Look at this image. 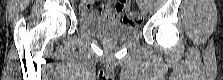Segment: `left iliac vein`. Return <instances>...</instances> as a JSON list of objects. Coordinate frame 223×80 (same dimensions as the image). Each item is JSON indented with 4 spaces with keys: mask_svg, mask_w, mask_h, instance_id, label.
Instances as JSON below:
<instances>
[{
    "mask_svg": "<svg viewBox=\"0 0 223 80\" xmlns=\"http://www.w3.org/2000/svg\"><path fill=\"white\" fill-rule=\"evenodd\" d=\"M140 10L143 13V15H146L148 12V6L146 2H143L140 4Z\"/></svg>",
    "mask_w": 223,
    "mask_h": 80,
    "instance_id": "1",
    "label": "left iliac vein"
}]
</instances>
